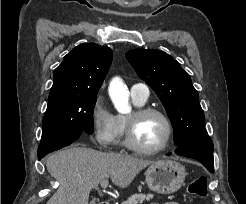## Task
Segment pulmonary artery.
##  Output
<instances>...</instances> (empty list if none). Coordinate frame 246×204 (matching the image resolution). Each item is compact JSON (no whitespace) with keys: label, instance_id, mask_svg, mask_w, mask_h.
I'll list each match as a JSON object with an SVG mask.
<instances>
[{"label":"pulmonary artery","instance_id":"e3ab8cb5","mask_svg":"<svg viewBox=\"0 0 246 204\" xmlns=\"http://www.w3.org/2000/svg\"><path fill=\"white\" fill-rule=\"evenodd\" d=\"M150 91L146 84L136 83L131 87V96L134 100L145 103L149 97Z\"/></svg>","mask_w":246,"mask_h":204}]
</instances>
